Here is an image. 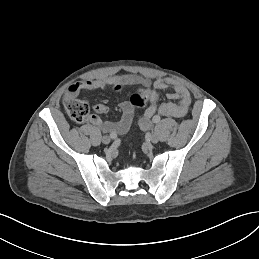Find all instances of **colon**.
Masks as SVG:
<instances>
[{
    "label": "colon",
    "mask_w": 259,
    "mask_h": 259,
    "mask_svg": "<svg viewBox=\"0 0 259 259\" xmlns=\"http://www.w3.org/2000/svg\"><path fill=\"white\" fill-rule=\"evenodd\" d=\"M149 100V90L141 89L130 98V103L136 108H142ZM65 109L68 116L75 122L82 123L89 119V107L81 100L71 98L65 102Z\"/></svg>",
    "instance_id": "1"
}]
</instances>
